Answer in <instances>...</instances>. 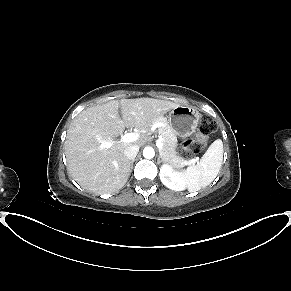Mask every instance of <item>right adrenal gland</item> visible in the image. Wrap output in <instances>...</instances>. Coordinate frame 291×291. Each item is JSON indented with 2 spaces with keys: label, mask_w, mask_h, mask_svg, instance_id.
Returning <instances> with one entry per match:
<instances>
[{
  "label": "right adrenal gland",
  "mask_w": 291,
  "mask_h": 291,
  "mask_svg": "<svg viewBox=\"0 0 291 291\" xmlns=\"http://www.w3.org/2000/svg\"><path fill=\"white\" fill-rule=\"evenodd\" d=\"M134 161H135L134 159L130 161V164H131V171H132V169H133V163H134Z\"/></svg>",
  "instance_id": "right-adrenal-gland-1"
}]
</instances>
